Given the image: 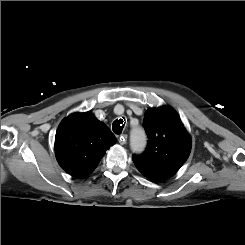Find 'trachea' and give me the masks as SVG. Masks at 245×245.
Here are the masks:
<instances>
[{
	"instance_id": "trachea-1",
	"label": "trachea",
	"mask_w": 245,
	"mask_h": 245,
	"mask_svg": "<svg viewBox=\"0 0 245 245\" xmlns=\"http://www.w3.org/2000/svg\"><path fill=\"white\" fill-rule=\"evenodd\" d=\"M125 126V119H116L112 124V130L115 134H121Z\"/></svg>"
}]
</instances>
